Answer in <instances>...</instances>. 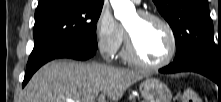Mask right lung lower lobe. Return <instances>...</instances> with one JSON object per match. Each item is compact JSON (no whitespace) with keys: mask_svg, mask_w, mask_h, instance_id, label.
I'll return each mask as SVG.
<instances>
[{"mask_svg":"<svg viewBox=\"0 0 221 102\" xmlns=\"http://www.w3.org/2000/svg\"><path fill=\"white\" fill-rule=\"evenodd\" d=\"M96 49L80 44H65L47 51L33 62L27 64L26 73L22 86L24 87L32 75L45 63L57 58H72L87 60L94 56Z\"/></svg>","mask_w":221,"mask_h":102,"instance_id":"1","label":"right lung lower lobe"}]
</instances>
